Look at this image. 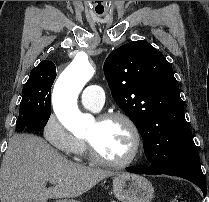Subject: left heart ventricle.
Returning <instances> with one entry per match:
<instances>
[{"label":"left heart ventricle","mask_w":209,"mask_h":202,"mask_svg":"<svg viewBox=\"0 0 209 202\" xmlns=\"http://www.w3.org/2000/svg\"><path fill=\"white\" fill-rule=\"evenodd\" d=\"M85 138L92 140L97 150L111 161L126 159L133 148V136L129 127L121 121L100 124L96 120Z\"/></svg>","instance_id":"obj_1"}]
</instances>
